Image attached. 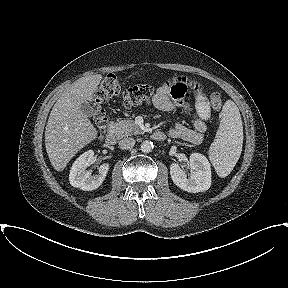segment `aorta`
Listing matches in <instances>:
<instances>
[{"mask_svg":"<svg viewBox=\"0 0 288 288\" xmlns=\"http://www.w3.org/2000/svg\"><path fill=\"white\" fill-rule=\"evenodd\" d=\"M154 145L153 142L149 140H145L141 143V151L144 153H149L153 150Z\"/></svg>","mask_w":288,"mask_h":288,"instance_id":"762f6f07","label":"aorta"}]
</instances>
